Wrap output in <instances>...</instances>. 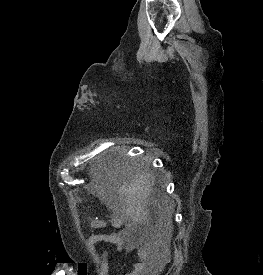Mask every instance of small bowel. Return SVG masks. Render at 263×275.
I'll list each match as a JSON object with an SVG mask.
<instances>
[{
	"mask_svg": "<svg viewBox=\"0 0 263 275\" xmlns=\"http://www.w3.org/2000/svg\"><path fill=\"white\" fill-rule=\"evenodd\" d=\"M105 223L101 220H92L90 222L91 228H101ZM101 241L117 243L120 247L126 249H136L137 251V262L134 264L133 270L126 275H155L158 271L150 260L147 249L142 245H135L134 241L130 236L127 235H107V234H95L90 236L88 240L89 248L96 261L101 262V257L96 253V245Z\"/></svg>",
	"mask_w": 263,
	"mask_h": 275,
	"instance_id": "c3829d8e",
	"label": "small bowel"
}]
</instances>
